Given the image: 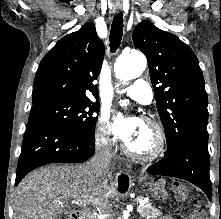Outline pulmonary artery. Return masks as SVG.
I'll use <instances>...</instances> for the list:
<instances>
[{
  "label": "pulmonary artery",
  "mask_w": 221,
  "mask_h": 219,
  "mask_svg": "<svg viewBox=\"0 0 221 219\" xmlns=\"http://www.w3.org/2000/svg\"><path fill=\"white\" fill-rule=\"evenodd\" d=\"M123 93L144 105H148L152 101V91L149 85L142 80H136L130 87L123 89Z\"/></svg>",
  "instance_id": "pulmonary-artery-1"
}]
</instances>
